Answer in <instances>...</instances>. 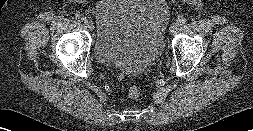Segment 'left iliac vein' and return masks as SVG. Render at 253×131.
I'll list each match as a JSON object with an SVG mask.
<instances>
[{
	"label": "left iliac vein",
	"mask_w": 253,
	"mask_h": 131,
	"mask_svg": "<svg viewBox=\"0 0 253 131\" xmlns=\"http://www.w3.org/2000/svg\"><path fill=\"white\" fill-rule=\"evenodd\" d=\"M178 25H179L178 23H172L169 27V33L173 34L177 30Z\"/></svg>",
	"instance_id": "4c4485c4"
}]
</instances>
